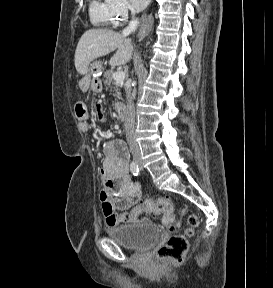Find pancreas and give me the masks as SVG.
<instances>
[{
  "label": "pancreas",
  "mask_w": 273,
  "mask_h": 288,
  "mask_svg": "<svg viewBox=\"0 0 273 288\" xmlns=\"http://www.w3.org/2000/svg\"><path fill=\"white\" fill-rule=\"evenodd\" d=\"M112 75H113L112 70L106 71L103 75V83L107 89L113 92V96L116 97V100L121 99L122 84L117 81L112 82V79H113ZM118 105H119L118 102H114V109H117Z\"/></svg>",
  "instance_id": "cf45deb5"
}]
</instances>
